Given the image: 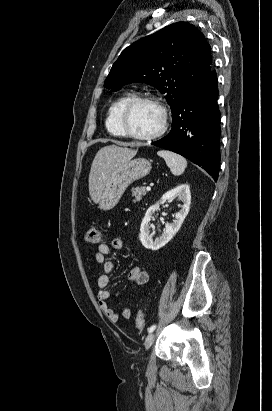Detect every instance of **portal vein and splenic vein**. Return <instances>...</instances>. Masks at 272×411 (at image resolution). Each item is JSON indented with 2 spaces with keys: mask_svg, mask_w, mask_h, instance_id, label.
Returning <instances> with one entry per match:
<instances>
[{
  "mask_svg": "<svg viewBox=\"0 0 272 411\" xmlns=\"http://www.w3.org/2000/svg\"><path fill=\"white\" fill-rule=\"evenodd\" d=\"M146 189H147L148 191H150V190H151V187H150V186H147Z\"/></svg>",
  "mask_w": 272,
  "mask_h": 411,
  "instance_id": "1",
  "label": "portal vein and splenic vein"
}]
</instances>
